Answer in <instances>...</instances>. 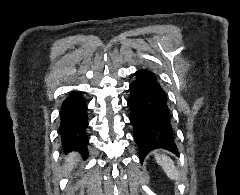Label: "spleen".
<instances>
[{"mask_svg": "<svg viewBox=\"0 0 240 195\" xmlns=\"http://www.w3.org/2000/svg\"><path fill=\"white\" fill-rule=\"evenodd\" d=\"M155 159L170 179H179L180 173L169 155H165V153H155Z\"/></svg>", "mask_w": 240, "mask_h": 195, "instance_id": "spleen-1", "label": "spleen"}]
</instances>
